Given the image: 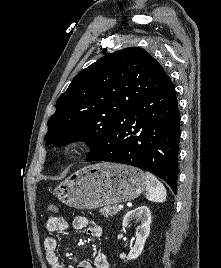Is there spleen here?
Masks as SVG:
<instances>
[{
	"label": "spleen",
	"mask_w": 221,
	"mask_h": 268,
	"mask_svg": "<svg viewBox=\"0 0 221 268\" xmlns=\"http://www.w3.org/2000/svg\"><path fill=\"white\" fill-rule=\"evenodd\" d=\"M166 196L163 184L153 174L146 172V198L153 202H164Z\"/></svg>",
	"instance_id": "obj_1"
}]
</instances>
